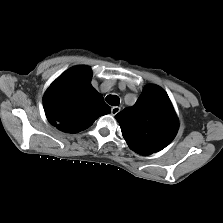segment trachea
Listing matches in <instances>:
<instances>
[{
    "label": "trachea",
    "mask_w": 223,
    "mask_h": 223,
    "mask_svg": "<svg viewBox=\"0 0 223 223\" xmlns=\"http://www.w3.org/2000/svg\"><path fill=\"white\" fill-rule=\"evenodd\" d=\"M105 100L108 104L112 106H118L120 103V99L116 95H108Z\"/></svg>",
    "instance_id": "trachea-1"
}]
</instances>
